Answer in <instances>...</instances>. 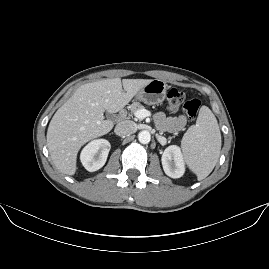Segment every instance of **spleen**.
<instances>
[{
    "instance_id": "spleen-1",
    "label": "spleen",
    "mask_w": 269,
    "mask_h": 269,
    "mask_svg": "<svg viewBox=\"0 0 269 269\" xmlns=\"http://www.w3.org/2000/svg\"><path fill=\"white\" fill-rule=\"evenodd\" d=\"M181 148L188 167L199 181L215 167L221 150V133L215 115L207 106L200 108L196 125L184 134Z\"/></svg>"
}]
</instances>
